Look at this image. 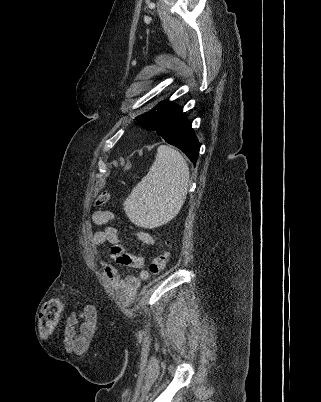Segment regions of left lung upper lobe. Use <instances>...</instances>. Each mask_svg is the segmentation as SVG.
<instances>
[{
  "label": "left lung upper lobe",
  "instance_id": "5c2ea615",
  "mask_svg": "<svg viewBox=\"0 0 321 402\" xmlns=\"http://www.w3.org/2000/svg\"><path fill=\"white\" fill-rule=\"evenodd\" d=\"M161 104H162V102H160L158 105H156L150 111L136 117L135 118L136 121L138 123H140L147 130L155 132L156 121L158 118L159 108H160Z\"/></svg>",
  "mask_w": 321,
  "mask_h": 402
}]
</instances>
